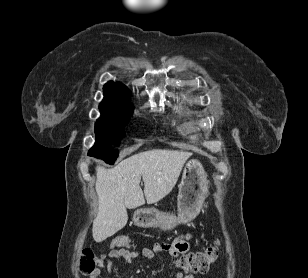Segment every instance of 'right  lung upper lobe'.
Instances as JSON below:
<instances>
[{"label": "right lung upper lobe", "instance_id": "obj_1", "mask_svg": "<svg viewBox=\"0 0 308 278\" xmlns=\"http://www.w3.org/2000/svg\"><path fill=\"white\" fill-rule=\"evenodd\" d=\"M103 90L104 100L99 105L102 117L98 120H128L133 106L129 101L127 87L120 82L114 83L110 81L105 84Z\"/></svg>", "mask_w": 308, "mask_h": 278}]
</instances>
